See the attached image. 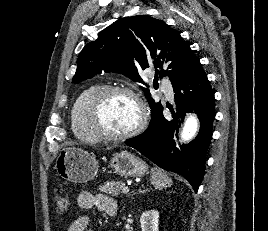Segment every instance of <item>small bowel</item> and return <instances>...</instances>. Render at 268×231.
Returning a JSON list of instances; mask_svg holds the SVG:
<instances>
[{"label":"small bowel","instance_id":"small-bowel-1","mask_svg":"<svg viewBox=\"0 0 268 231\" xmlns=\"http://www.w3.org/2000/svg\"><path fill=\"white\" fill-rule=\"evenodd\" d=\"M77 205L82 209L96 207L106 215H115L117 212V202L110 196L103 194H92L88 191L81 192L77 197ZM90 218L82 216L73 221L66 231H88Z\"/></svg>","mask_w":268,"mask_h":231}]
</instances>
